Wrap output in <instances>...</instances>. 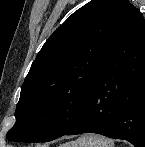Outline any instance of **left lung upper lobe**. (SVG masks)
Masks as SVG:
<instances>
[{
	"label": "left lung upper lobe",
	"instance_id": "left-lung-upper-lobe-1",
	"mask_svg": "<svg viewBox=\"0 0 145 147\" xmlns=\"http://www.w3.org/2000/svg\"><path fill=\"white\" fill-rule=\"evenodd\" d=\"M130 5L127 0H91L56 29L22 85L9 141L47 142L74 126Z\"/></svg>",
	"mask_w": 145,
	"mask_h": 147
}]
</instances>
